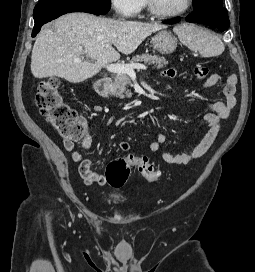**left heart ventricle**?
Returning <instances> with one entry per match:
<instances>
[{"instance_id": "b2bd125f", "label": "left heart ventricle", "mask_w": 255, "mask_h": 272, "mask_svg": "<svg viewBox=\"0 0 255 272\" xmlns=\"http://www.w3.org/2000/svg\"><path fill=\"white\" fill-rule=\"evenodd\" d=\"M156 6L159 10L163 12H177L183 9L186 4L187 0H155Z\"/></svg>"}]
</instances>
